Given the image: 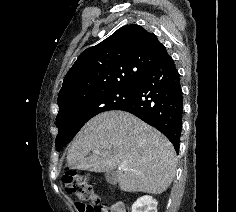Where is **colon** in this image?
I'll use <instances>...</instances> for the list:
<instances>
[{
    "label": "colon",
    "instance_id": "obj_1",
    "mask_svg": "<svg viewBox=\"0 0 236 212\" xmlns=\"http://www.w3.org/2000/svg\"><path fill=\"white\" fill-rule=\"evenodd\" d=\"M63 185L80 202V212H104V206L99 204L98 196L87 176L69 172L63 177Z\"/></svg>",
    "mask_w": 236,
    "mask_h": 212
}]
</instances>
